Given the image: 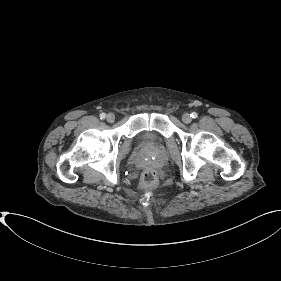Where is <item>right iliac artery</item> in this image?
<instances>
[{
	"instance_id": "82829eb1",
	"label": "right iliac artery",
	"mask_w": 281,
	"mask_h": 281,
	"mask_svg": "<svg viewBox=\"0 0 281 281\" xmlns=\"http://www.w3.org/2000/svg\"><path fill=\"white\" fill-rule=\"evenodd\" d=\"M100 118H101V119H105V118H106V114H105V113H101V114H100Z\"/></svg>"
}]
</instances>
